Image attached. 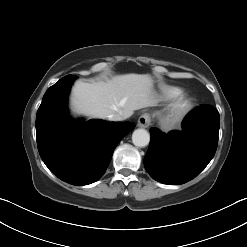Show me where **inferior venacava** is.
Returning a JSON list of instances; mask_svg holds the SVG:
<instances>
[{"instance_id": "obj_1", "label": "inferior vena cava", "mask_w": 247, "mask_h": 247, "mask_svg": "<svg viewBox=\"0 0 247 247\" xmlns=\"http://www.w3.org/2000/svg\"><path fill=\"white\" fill-rule=\"evenodd\" d=\"M131 115L132 113H113L108 115L107 117L110 121H122L129 118Z\"/></svg>"}]
</instances>
